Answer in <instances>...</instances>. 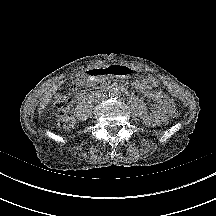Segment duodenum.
Wrapping results in <instances>:
<instances>
[{
    "label": "duodenum",
    "instance_id": "duodenum-1",
    "mask_svg": "<svg viewBox=\"0 0 216 216\" xmlns=\"http://www.w3.org/2000/svg\"><path fill=\"white\" fill-rule=\"evenodd\" d=\"M110 87H101L99 90L97 91H86V92H82L81 94H79L77 96L78 100H89L92 99L96 96H98L99 94L109 90Z\"/></svg>",
    "mask_w": 216,
    "mask_h": 216
}]
</instances>
